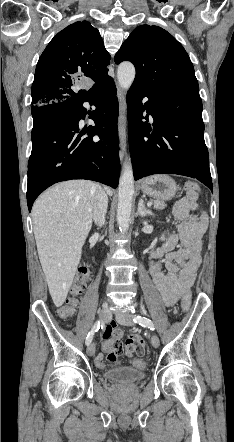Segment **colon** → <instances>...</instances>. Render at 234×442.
Returning a JSON list of instances; mask_svg holds the SVG:
<instances>
[{"instance_id": "colon-1", "label": "colon", "mask_w": 234, "mask_h": 442, "mask_svg": "<svg viewBox=\"0 0 234 442\" xmlns=\"http://www.w3.org/2000/svg\"><path fill=\"white\" fill-rule=\"evenodd\" d=\"M184 188L187 194L194 196H197V194L200 191V186L196 182H187ZM89 277H90L89 266L84 265L80 267L71 289V293L73 296H77L85 289ZM190 304H191V292L186 291L182 298V303H181L182 309L187 310ZM75 305H76V299L74 297L70 298L66 302V304L62 305L57 309V315L62 319L71 317L74 314ZM140 341L143 342V340ZM121 353L122 349L117 350V352L114 349H107L105 350L104 354L99 353L97 355V363L101 364L102 360L106 358L107 364L113 367V370L115 372H119L124 367V362L122 361L121 357L116 355ZM139 357H136L134 359L135 363L133 365V368L136 371L142 370L144 368V362Z\"/></svg>"}]
</instances>
